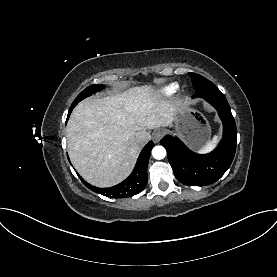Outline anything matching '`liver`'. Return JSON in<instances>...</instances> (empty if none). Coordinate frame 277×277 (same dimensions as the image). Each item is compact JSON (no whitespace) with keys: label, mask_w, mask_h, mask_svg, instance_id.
Returning a JSON list of instances; mask_svg holds the SVG:
<instances>
[{"label":"liver","mask_w":277,"mask_h":277,"mask_svg":"<svg viewBox=\"0 0 277 277\" xmlns=\"http://www.w3.org/2000/svg\"><path fill=\"white\" fill-rule=\"evenodd\" d=\"M174 110L175 104L159 99L150 85L81 101L66 129L73 166L92 185L120 183L131 173L142 147L135 133L172 125Z\"/></svg>","instance_id":"obj_1"}]
</instances>
